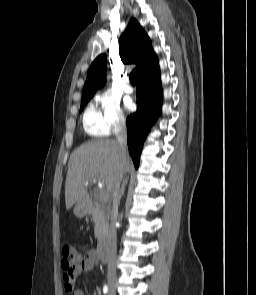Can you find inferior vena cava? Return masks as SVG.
I'll return each instance as SVG.
<instances>
[{
  "label": "inferior vena cava",
  "instance_id": "1",
  "mask_svg": "<svg viewBox=\"0 0 256 295\" xmlns=\"http://www.w3.org/2000/svg\"><path fill=\"white\" fill-rule=\"evenodd\" d=\"M115 135L117 143L119 144L121 164H119V171H117V178L110 190L112 198V208L110 210L111 222L108 237V272L115 273V257L117 249V236L115 223L118 216V205L120 203V184L123 177L128 174L129 162L127 156V128L125 120L121 119L115 127Z\"/></svg>",
  "mask_w": 256,
  "mask_h": 295
}]
</instances>
